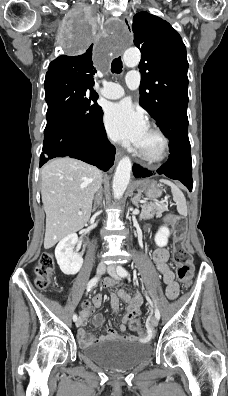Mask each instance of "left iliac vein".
I'll return each instance as SVG.
<instances>
[{"mask_svg":"<svg viewBox=\"0 0 228 396\" xmlns=\"http://www.w3.org/2000/svg\"><path fill=\"white\" fill-rule=\"evenodd\" d=\"M107 271H108V273L110 274V276L112 278H114L116 280H119V276L117 275L116 268H115L114 265H109L108 268H107ZM150 323H151V325L153 327H157L158 326V319L156 318V316H153L151 318Z\"/></svg>","mask_w":228,"mask_h":396,"instance_id":"4c4485c4","label":"left iliac vein"}]
</instances>
